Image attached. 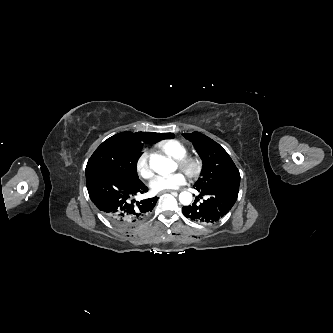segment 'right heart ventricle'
I'll list each match as a JSON object with an SVG mask.
<instances>
[{"mask_svg": "<svg viewBox=\"0 0 333 333\" xmlns=\"http://www.w3.org/2000/svg\"><path fill=\"white\" fill-rule=\"evenodd\" d=\"M157 148L176 160L184 158L188 153L187 147L178 140H166L160 142L157 145Z\"/></svg>", "mask_w": 333, "mask_h": 333, "instance_id": "e07e8e85", "label": "right heart ventricle"}]
</instances>
